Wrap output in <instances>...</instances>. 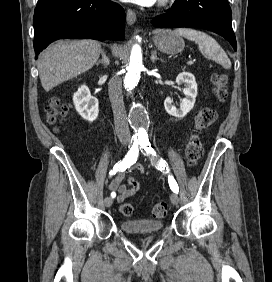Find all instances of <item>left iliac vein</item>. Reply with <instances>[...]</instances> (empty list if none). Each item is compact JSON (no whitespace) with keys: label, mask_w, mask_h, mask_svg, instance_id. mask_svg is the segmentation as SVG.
Returning <instances> with one entry per match:
<instances>
[{"label":"left iliac vein","mask_w":272,"mask_h":282,"mask_svg":"<svg viewBox=\"0 0 272 282\" xmlns=\"http://www.w3.org/2000/svg\"><path fill=\"white\" fill-rule=\"evenodd\" d=\"M172 204L177 205L179 203V197L176 193H172L170 196Z\"/></svg>","instance_id":"1"}]
</instances>
